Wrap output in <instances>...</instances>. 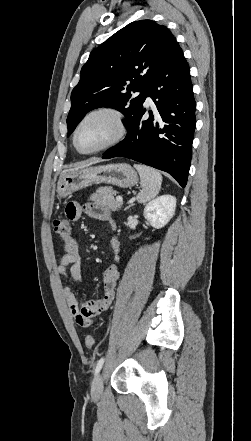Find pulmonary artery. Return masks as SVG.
<instances>
[{
  "mask_svg": "<svg viewBox=\"0 0 251 441\" xmlns=\"http://www.w3.org/2000/svg\"><path fill=\"white\" fill-rule=\"evenodd\" d=\"M151 101H152L151 98H150V97H147V102H148V103H151Z\"/></svg>",
  "mask_w": 251,
  "mask_h": 441,
  "instance_id": "e3ab8cb5",
  "label": "pulmonary artery"
}]
</instances>
